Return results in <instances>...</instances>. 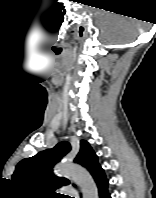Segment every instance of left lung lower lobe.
I'll use <instances>...</instances> for the list:
<instances>
[{
    "label": "left lung lower lobe",
    "instance_id": "obj_1",
    "mask_svg": "<svg viewBox=\"0 0 156 198\" xmlns=\"http://www.w3.org/2000/svg\"><path fill=\"white\" fill-rule=\"evenodd\" d=\"M94 180L98 187L99 197L100 198H111V196L108 192V180L106 178L104 170L101 171Z\"/></svg>",
    "mask_w": 156,
    "mask_h": 198
}]
</instances>
